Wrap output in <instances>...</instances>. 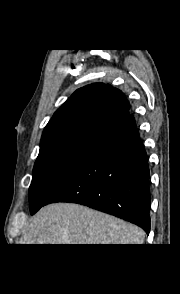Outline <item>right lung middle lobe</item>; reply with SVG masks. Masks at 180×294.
I'll return each instance as SVG.
<instances>
[{"label": "right lung middle lobe", "instance_id": "1", "mask_svg": "<svg viewBox=\"0 0 180 294\" xmlns=\"http://www.w3.org/2000/svg\"><path fill=\"white\" fill-rule=\"evenodd\" d=\"M98 141L77 139L62 142L39 152L29 188L31 212L37 211L81 165Z\"/></svg>", "mask_w": 180, "mask_h": 294}]
</instances>
